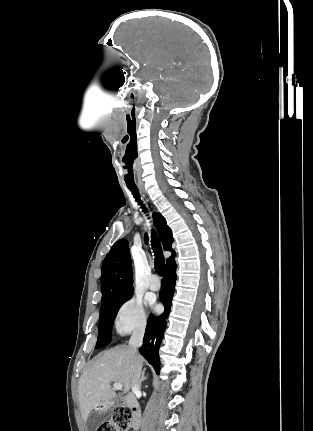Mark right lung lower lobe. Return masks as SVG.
<instances>
[{"label": "right lung lower lobe", "mask_w": 313, "mask_h": 431, "mask_svg": "<svg viewBox=\"0 0 313 431\" xmlns=\"http://www.w3.org/2000/svg\"><path fill=\"white\" fill-rule=\"evenodd\" d=\"M175 282L176 263L173 256L166 263L164 278L162 279L160 291V299L165 307L164 313L159 317L150 315L146 327L143 345L140 347L141 355L154 367L157 373L160 370L158 350L170 312L172 298L175 292Z\"/></svg>", "instance_id": "obj_1"}]
</instances>
